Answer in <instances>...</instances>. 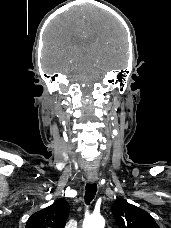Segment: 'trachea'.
<instances>
[{
  "label": "trachea",
  "mask_w": 171,
  "mask_h": 228,
  "mask_svg": "<svg viewBox=\"0 0 171 228\" xmlns=\"http://www.w3.org/2000/svg\"><path fill=\"white\" fill-rule=\"evenodd\" d=\"M96 192H97V185L95 183L86 185V191H85L86 204H90V202L94 199Z\"/></svg>",
  "instance_id": "trachea-1"
}]
</instances>
